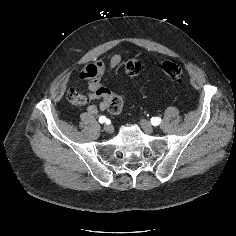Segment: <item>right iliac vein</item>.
Here are the masks:
<instances>
[{"label":"right iliac vein","mask_w":236,"mask_h":236,"mask_svg":"<svg viewBox=\"0 0 236 236\" xmlns=\"http://www.w3.org/2000/svg\"><path fill=\"white\" fill-rule=\"evenodd\" d=\"M104 131H105L106 133H112V132H113V127H112V125L106 124V125L104 126Z\"/></svg>","instance_id":"1"}]
</instances>
